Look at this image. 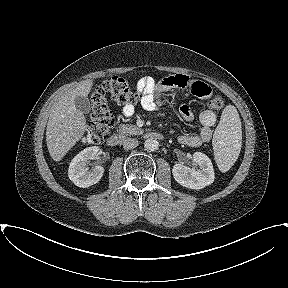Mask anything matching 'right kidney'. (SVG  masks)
Returning a JSON list of instances; mask_svg holds the SVG:
<instances>
[{
	"label": "right kidney",
	"instance_id": "obj_1",
	"mask_svg": "<svg viewBox=\"0 0 288 288\" xmlns=\"http://www.w3.org/2000/svg\"><path fill=\"white\" fill-rule=\"evenodd\" d=\"M99 147L92 146L85 148L77 154L71 161L68 176L78 187L86 188L100 181L104 173L102 166H95L93 171H88L86 167L89 160H94L99 154Z\"/></svg>",
	"mask_w": 288,
	"mask_h": 288
}]
</instances>
